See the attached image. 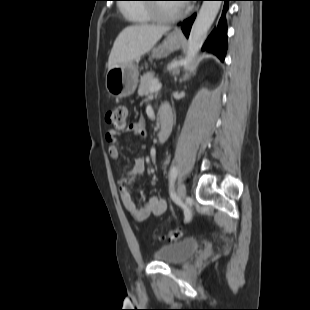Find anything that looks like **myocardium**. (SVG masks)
<instances>
[{
    "label": "myocardium",
    "instance_id": "f54148a6",
    "mask_svg": "<svg viewBox=\"0 0 310 310\" xmlns=\"http://www.w3.org/2000/svg\"><path fill=\"white\" fill-rule=\"evenodd\" d=\"M150 13L156 21L167 22L178 19L184 14V11L179 10L171 13H166L162 10L161 5H152L149 7Z\"/></svg>",
    "mask_w": 310,
    "mask_h": 310
}]
</instances>
